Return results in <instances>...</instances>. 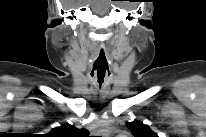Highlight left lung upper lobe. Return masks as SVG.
Masks as SVG:
<instances>
[{"label": "left lung upper lobe", "mask_w": 206, "mask_h": 137, "mask_svg": "<svg viewBox=\"0 0 206 137\" xmlns=\"http://www.w3.org/2000/svg\"><path fill=\"white\" fill-rule=\"evenodd\" d=\"M126 126L133 133L134 137H158L149 126L141 121L127 122Z\"/></svg>", "instance_id": "1"}]
</instances>
